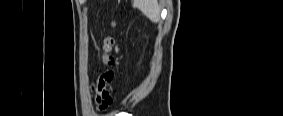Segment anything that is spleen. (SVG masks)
<instances>
[{
    "instance_id": "3e777b00",
    "label": "spleen",
    "mask_w": 283,
    "mask_h": 116,
    "mask_svg": "<svg viewBox=\"0 0 283 116\" xmlns=\"http://www.w3.org/2000/svg\"><path fill=\"white\" fill-rule=\"evenodd\" d=\"M133 7L139 9L153 23L160 21V7L156 0H134Z\"/></svg>"
}]
</instances>
